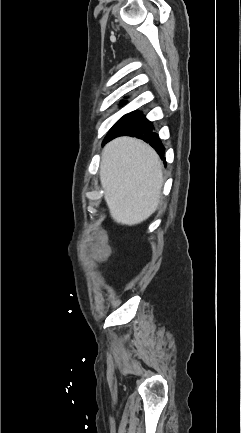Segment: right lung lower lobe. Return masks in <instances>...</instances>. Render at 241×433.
<instances>
[{"label": "right lung lower lobe", "instance_id": "1", "mask_svg": "<svg viewBox=\"0 0 241 433\" xmlns=\"http://www.w3.org/2000/svg\"><path fill=\"white\" fill-rule=\"evenodd\" d=\"M129 135L132 137H137L143 139L145 142L150 143V145L158 152L161 158L164 155V147L158 134L153 132V124L148 121L145 116H141L137 121H135L131 126H129L125 131L121 133H116L106 137V141H110L115 137Z\"/></svg>", "mask_w": 241, "mask_h": 433}]
</instances>
